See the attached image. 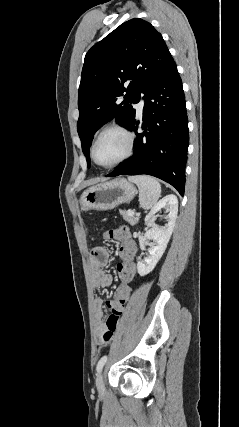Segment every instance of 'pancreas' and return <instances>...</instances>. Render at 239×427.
Masks as SVG:
<instances>
[{
    "mask_svg": "<svg viewBox=\"0 0 239 427\" xmlns=\"http://www.w3.org/2000/svg\"><path fill=\"white\" fill-rule=\"evenodd\" d=\"M120 214L122 215L123 219L127 221L130 225H135L139 221V216L137 215H129L127 211L120 210Z\"/></svg>",
    "mask_w": 239,
    "mask_h": 427,
    "instance_id": "cf45deb5",
    "label": "pancreas"
}]
</instances>
